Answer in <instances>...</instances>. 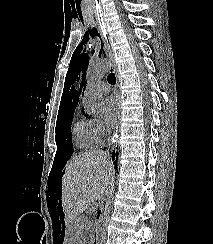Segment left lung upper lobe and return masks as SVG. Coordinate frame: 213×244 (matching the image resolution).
Instances as JSON below:
<instances>
[{
	"instance_id": "left-lung-upper-lobe-1",
	"label": "left lung upper lobe",
	"mask_w": 213,
	"mask_h": 244,
	"mask_svg": "<svg viewBox=\"0 0 213 244\" xmlns=\"http://www.w3.org/2000/svg\"><path fill=\"white\" fill-rule=\"evenodd\" d=\"M81 49L82 47L79 50L77 49L71 58L69 69L65 79L62 101L72 99L73 92H75L73 83L76 80L79 81V75L81 72L83 73L81 85L83 86L85 82V73L88 66L89 56L87 53H85V50H83L82 53Z\"/></svg>"
}]
</instances>
